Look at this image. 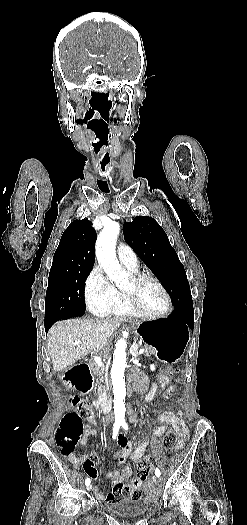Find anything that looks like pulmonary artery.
Here are the masks:
<instances>
[{"label":"pulmonary artery","mask_w":247,"mask_h":525,"mask_svg":"<svg viewBox=\"0 0 247 525\" xmlns=\"http://www.w3.org/2000/svg\"><path fill=\"white\" fill-rule=\"evenodd\" d=\"M119 259L125 264H131L136 261V255L132 248L123 242H119L116 247Z\"/></svg>","instance_id":"obj_1"}]
</instances>
